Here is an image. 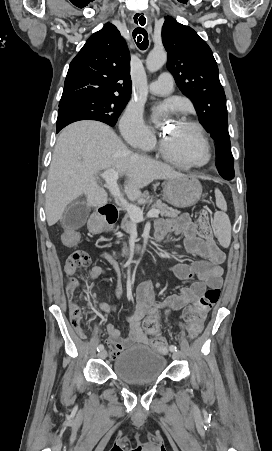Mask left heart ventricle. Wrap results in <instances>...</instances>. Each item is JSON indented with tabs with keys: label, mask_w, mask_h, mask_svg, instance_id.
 I'll return each mask as SVG.
<instances>
[{
	"label": "left heart ventricle",
	"mask_w": 272,
	"mask_h": 451,
	"mask_svg": "<svg viewBox=\"0 0 272 451\" xmlns=\"http://www.w3.org/2000/svg\"><path fill=\"white\" fill-rule=\"evenodd\" d=\"M173 130L166 137L168 145L182 160L199 162L203 152L195 132L180 122H175Z\"/></svg>",
	"instance_id": "obj_1"
}]
</instances>
